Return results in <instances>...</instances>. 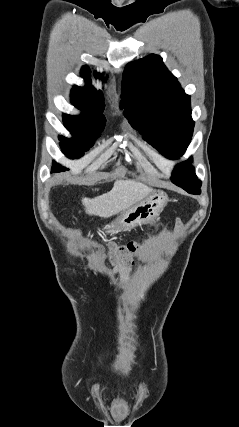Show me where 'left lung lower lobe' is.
Returning <instances> with one entry per match:
<instances>
[{
	"label": "left lung lower lobe",
	"instance_id": "0a47b994",
	"mask_svg": "<svg viewBox=\"0 0 239 427\" xmlns=\"http://www.w3.org/2000/svg\"><path fill=\"white\" fill-rule=\"evenodd\" d=\"M185 191H187L190 194L198 195L201 193L200 187L195 188H183Z\"/></svg>",
	"mask_w": 239,
	"mask_h": 427
}]
</instances>
